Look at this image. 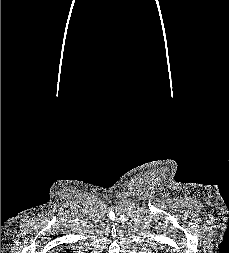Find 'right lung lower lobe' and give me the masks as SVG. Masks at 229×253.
I'll return each mask as SVG.
<instances>
[{
	"label": "right lung lower lobe",
	"mask_w": 229,
	"mask_h": 253,
	"mask_svg": "<svg viewBox=\"0 0 229 253\" xmlns=\"http://www.w3.org/2000/svg\"><path fill=\"white\" fill-rule=\"evenodd\" d=\"M67 253H70V251H69V250H67Z\"/></svg>",
	"instance_id": "obj_1"
}]
</instances>
